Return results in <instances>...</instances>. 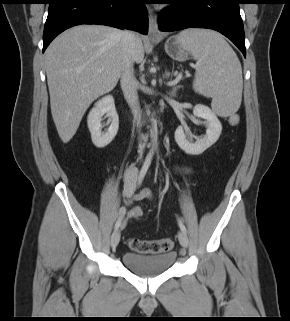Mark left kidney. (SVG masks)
<instances>
[{"instance_id": "obj_1", "label": "left kidney", "mask_w": 290, "mask_h": 321, "mask_svg": "<svg viewBox=\"0 0 290 321\" xmlns=\"http://www.w3.org/2000/svg\"><path fill=\"white\" fill-rule=\"evenodd\" d=\"M193 114L207 121L206 135L199 141L191 143L186 139L184 128L179 126L175 131V141L187 154L199 155L219 139L222 125L215 113L205 105L197 104L194 107Z\"/></svg>"}]
</instances>
